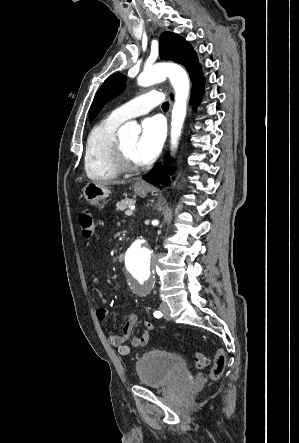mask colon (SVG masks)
Segmentation results:
<instances>
[{"label": "colon", "mask_w": 299, "mask_h": 443, "mask_svg": "<svg viewBox=\"0 0 299 443\" xmlns=\"http://www.w3.org/2000/svg\"><path fill=\"white\" fill-rule=\"evenodd\" d=\"M78 222L81 228V233L84 238H90L95 232V222L90 211L82 210L78 214ZM195 363L198 368H203L211 363V359L203 353L197 352L195 354ZM226 367V355L222 349H217L213 358V366L211 369V378L218 380L222 377Z\"/></svg>", "instance_id": "5ec220e1"}]
</instances>
